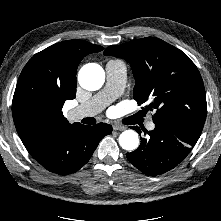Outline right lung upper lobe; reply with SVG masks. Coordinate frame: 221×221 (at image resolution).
<instances>
[{"label": "right lung upper lobe", "instance_id": "cb5924a9", "mask_svg": "<svg viewBox=\"0 0 221 221\" xmlns=\"http://www.w3.org/2000/svg\"><path fill=\"white\" fill-rule=\"evenodd\" d=\"M103 47L82 40L56 43L35 54L25 65L17 82L12 102L13 120L28 151L39 144L58 139L61 134L82 125H70L61 111L66 100L76 93V70L81 60ZM33 85L42 90L51 102L44 110L29 109L22 97L23 89Z\"/></svg>", "mask_w": 221, "mask_h": 221}]
</instances>
